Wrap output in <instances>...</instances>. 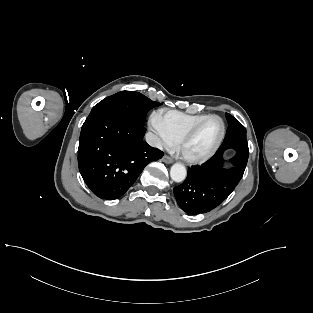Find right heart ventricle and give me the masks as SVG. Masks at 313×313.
<instances>
[{"label": "right heart ventricle", "instance_id": "e07e8e85", "mask_svg": "<svg viewBox=\"0 0 313 313\" xmlns=\"http://www.w3.org/2000/svg\"><path fill=\"white\" fill-rule=\"evenodd\" d=\"M206 114H187L176 110H162L157 114L158 122L167 136L177 143L180 136Z\"/></svg>", "mask_w": 313, "mask_h": 313}]
</instances>
